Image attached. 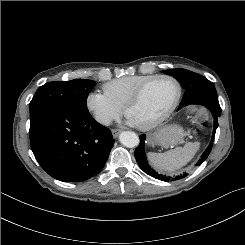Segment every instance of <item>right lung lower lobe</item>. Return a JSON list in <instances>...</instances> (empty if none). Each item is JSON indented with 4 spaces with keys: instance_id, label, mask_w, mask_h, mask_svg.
I'll list each match as a JSON object with an SVG mask.
<instances>
[{
    "instance_id": "obj_1",
    "label": "right lung lower lobe",
    "mask_w": 245,
    "mask_h": 245,
    "mask_svg": "<svg viewBox=\"0 0 245 245\" xmlns=\"http://www.w3.org/2000/svg\"><path fill=\"white\" fill-rule=\"evenodd\" d=\"M30 144L50 176L63 182H82L103 169L114 139L89 112L46 107L30 114Z\"/></svg>"
}]
</instances>
